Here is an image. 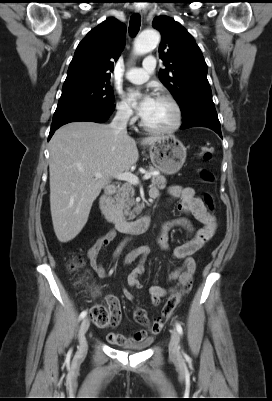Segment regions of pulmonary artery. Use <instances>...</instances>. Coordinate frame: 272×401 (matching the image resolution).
Masks as SVG:
<instances>
[{"label":"pulmonary artery","mask_w":272,"mask_h":401,"mask_svg":"<svg viewBox=\"0 0 272 401\" xmlns=\"http://www.w3.org/2000/svg\"><path fill=\"white\" fill-rule=\"evenodd\" d=\"M155 67V59L153 57H149L144 60L142 68H132L128 70L125 77L132 83L141 84L148 80Z\"/></svg>","instance_id":"e3ab8cb5"}]
</instances>
